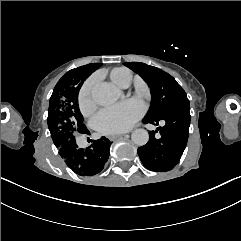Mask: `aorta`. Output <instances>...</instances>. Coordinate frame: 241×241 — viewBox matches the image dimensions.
Wrapping results in <instances>:
<instances>
[{"label":"aorta","instance_id":"762f6f07","mask_svg":"<svg viewBox=\"0 0 241 241\" xmlns=\"http://www.w3.org/2000/svg\"><path fill=\"white\" fill-rule=\"evenodd\" d=\"M92 98L97 104L108 106L117 101L119 90L110 83L101 82L93 87ZM131 139L137 146H144L149 141V133L145 129H136L133 131Z\"/></svg>","mask_w":241,"mask_h":241}]
</instances>
